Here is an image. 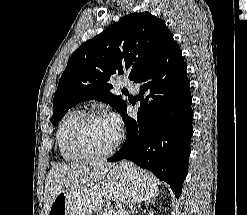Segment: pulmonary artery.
I'll list each match as a JSON object with an SVG mask.
<instances>
[{
    "label": "pulmonary artery",
    "mask_w": 247,
    "mask_h": 215,
    "mask_svg": "<svg viewBox=\"0 0 247 215\" xmlns=\"http://www.w3.org/2000/svg\"><path fill=\"white\" fill-rule=\"evenodd\" d=\"M122 83L132 93H137L139 91L138 85L131 80L124 79Z\"/></svg>",
    "instance_id": "obj_1"
}]
</instances>
